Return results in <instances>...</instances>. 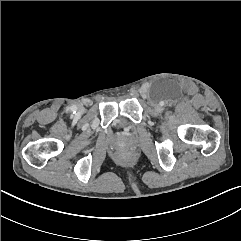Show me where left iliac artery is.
<instances>
[{"instance_id": "44dca946", "label": "left iliac artery", "mask_w": 241, "mask_h": 241, "mask_svg": "<svg viewBox=\"0 0 241 241\" xmlns=\"http://www.w3.org/2000/svg\"><path fill=\"white\" fill-rule=\"evenodd\" d=\"M161 105H164V102H161Z\"/></svg>"}]
</instances>
